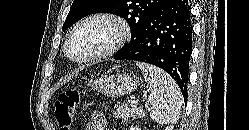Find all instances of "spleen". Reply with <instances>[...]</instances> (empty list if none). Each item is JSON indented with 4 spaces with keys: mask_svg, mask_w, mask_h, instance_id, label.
I'll return each mask as SVG.
<instances>
[{
    "mask_svg": "<svg viewBox=\"0 0 249 130\" xmlns=\"http://www.w3.org/2000/svg\"><path fill=\"white\" fill-rule=\"evenodd\" d=\"M136 65L144 74L149 89L145 102L152 120L169 129L178 121L182 105V95L175 80L162 69L143 62Z\"/></svg>",
    "mask_w": 249,
    "mask_h": 130,
    "instance_id": "1",
    "label": "spleen"
}]
</instances>
